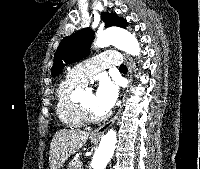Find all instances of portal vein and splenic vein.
Here are the masks:
<instances>
[{
  "mask_svg": "<svg viewBox=\"0 0 200 169\" xmlns=\"http://www.w3.org/2000/svg\"><path fill=\"white\" fill-rule=\"evenodd\" d=\"M82 166V162H79V167H81Z\"/></svg>",
  "mask_w": 200,
  "mask_h": 169,
  "instance_id": "portal-vein-and-splenic-vein-1",
  "label": "portal vein and splenic vein"
}]
</instances>
